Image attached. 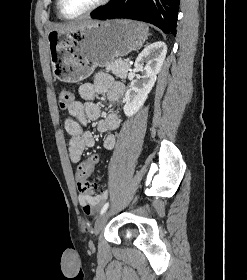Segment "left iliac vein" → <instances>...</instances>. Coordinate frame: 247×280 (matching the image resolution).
<instances>
[{
    "mask_svg": "<svg viewBox=\"0 0 247 280\" xmlns=\"http://www.w3.org/2000/svg\"><path fill=\"white\" fill-rule=\"evenodd\" d=\"M109 217V211H105L96 221L95 227H94V234L97 236L101 230L104 228L107 219Z\"/></svg>",
    "mask_w": 247,
    "mask_h": 280,
    "instance_id": "obj_1",
    "label": "left iliac vein"
}]
</instances>
